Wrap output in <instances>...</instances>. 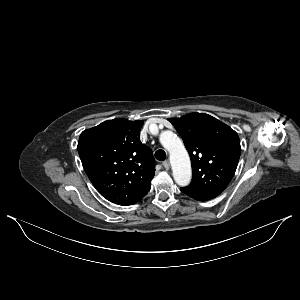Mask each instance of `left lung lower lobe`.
<instances>
[{"instance_id":"0a47b994","label":"left lung lower lobe","mask_w":300,"mask_h":300,"mask_svg":"<svg viewBox=\"0 0 300 300\" xmlns=\"http://www.w3.org/2000/svg\"><path fill=\"white\" fill-rule=\"evenodd\" d=\"M183 193H185L186 195L192 197L193 199L195 200H198V201H207V200H210L212 198H215L217 196H213V195H205V194H201V193H197V192H194L186 187H183L180 189Z\"/></svg>"}]
</instances>
